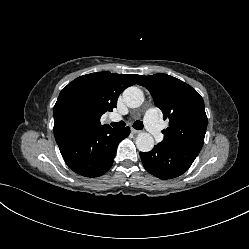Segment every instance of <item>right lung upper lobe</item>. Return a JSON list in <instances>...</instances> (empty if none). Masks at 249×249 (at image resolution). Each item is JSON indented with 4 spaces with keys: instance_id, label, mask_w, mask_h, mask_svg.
I'll list each match as a JSON object with an SVG mask.
<instances>
[{
    "instance_id": "right-lung-upper-lobe-1",
    "label": "right lung upper lobe",
    "mask_w": 249,
    "mask_h": 249,
    "mask_svg": "<svg viewBox=\"0 0 249 249\" xmlns=\"http://www.w3.org/2000/svg\"><path fill=\"white\" fill-rule=\"evenodd\" d=\"M144 76L97 72L80 76L64 87L53 108L54 132L61 129L98 131L110 128L100 118L116 107L118 96Z\"/></svg>"
}]
</instances>
